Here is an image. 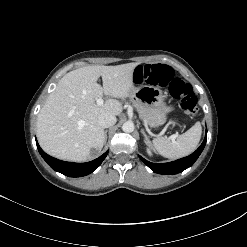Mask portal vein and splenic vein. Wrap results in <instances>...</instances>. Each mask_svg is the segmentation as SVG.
<instances>
[{
  "instance_id": "portal-vein-and-splenic-vein-1",
  "label": "portal vein and splenic vein",
  "mask_w": 247,
  "mask_h": 247,
  "mask_svg": "<svg viewBox=\"0 0 247 247\" xmlns=\"http://www.w3.org/2000/svg\"><path fill=\"white\" fill-rule=\"evenodd\" d=\"M96 103H97V105H103L104 101H103L102 98H98L96 100ZM177 136H178L177 134H174V135L171 136V138L174 140Z\"/></svg>"
}]
</instances>
